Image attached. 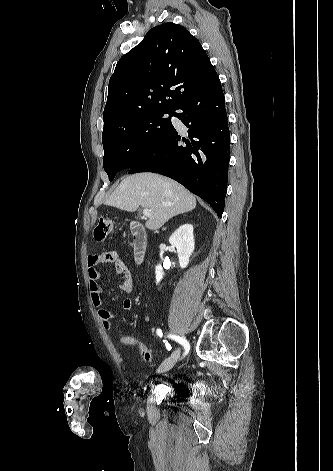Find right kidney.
<instances>
[{"mask_svg": "<svg viewBox=\"0 0 333 471\" xmlns=\"http://www.w3.org/2000/svg\"><path fill=\"white\" fill-rule=\"evenodd\" d=\"M169 243L177 249L180 267L182 269L186 268L189 264V258L194 251L193 226L191 224H184L180 226L170 236ZM155 274L156 284H158L164 275L161 265L156 266Z\"/></svg>", "mask_w": 333, "mask_h": 471, "instance_id": "obj_1", "label": "right kidney"}]
</instances>
